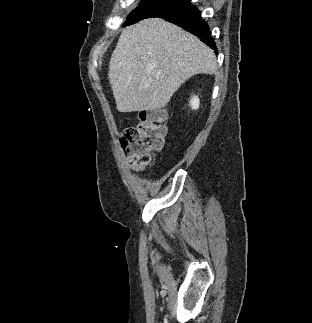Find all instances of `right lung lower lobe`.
<instances>
[{
  "label": "right lung lower lobe",
  "mask_w": 312,
  "mask_h": 323,
  "mask_svg": "<svg viewBox=\"0 0 312 323\" xmlns=\"http://www.w3.org/2000/svg\"><path fill=\"white\" fill-rule=\"evenodd\" d=\"M161 17L187 29L189 32L199 37L201 41L212 47L217 53L215 42L210 36L209 26L201 19L200 11L195 6L190 5L182 10Z\"/></svg>",
  "instance_id": "right-lung-lower-lobe-1"
}]
</instances>
